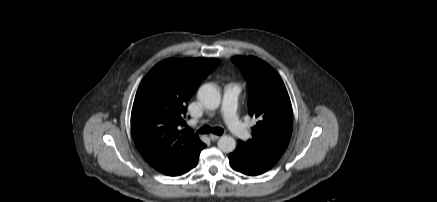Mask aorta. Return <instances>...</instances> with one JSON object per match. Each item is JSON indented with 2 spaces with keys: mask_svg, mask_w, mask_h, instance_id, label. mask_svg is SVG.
<instances>
[{
  "mask_svg": "<svg viewBox=\"0 0 437 202\" xmlns=\"http://www.w3.org/2000/svg\"><path fill=\"white\" fill-rule=\"evenodd\" d=\"M199 102L207 109L215 110L220 106L221 94L213 84L202 85L197 93ZM218 148L224 153H231L236 148V141L232 136L224 135L218 140Z\"/></svg>",
  "mask_w": 437,
  "mask_h": 202,
  "instance_id": "1",
  "label": "aorta"
}]
</instances>
